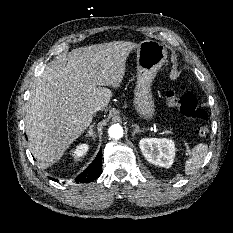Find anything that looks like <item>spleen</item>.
Returning <instances> with one entry per match:
<instances>
[{
    "instance_id": "3e777b00",
    "label": "spleen",
    "mask_w": 233,
    "mask_h": 233,
    "mask_svg": "<svg viewBox=\"0 0 233 233\" xmlns=\"http://www.w3.org/2000/svg\"><path fill=\"white\" fill-rule=\"evenodd\" d=\"M208 153V146L205 143L197 144L191 151V156L185 162V173L194 174L204 163Z\"/></svg>"
}]
</instances>
